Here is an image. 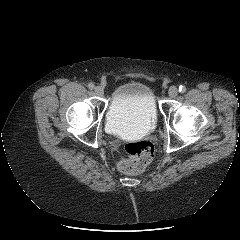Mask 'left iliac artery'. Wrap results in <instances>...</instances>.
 I'll list each match as a JSON object with an SVG mask.
<instances>
[{
  "label": "left iliac artery",
  "instance_id": "44dca946",
  "mask_svg": "<svg viewBox=\"0 0 240 240\" xmlns=\"http://www.w3.org/2000/svg\"><path fill=\"white\" fill-rule=\"evenodd\" d=\"M185 91H186V87L181 85V86L179 87V92H180V93H184Z\"/></svg>",
  "mask_w": 240,
  "mask_h": 240
}]
</instances>
